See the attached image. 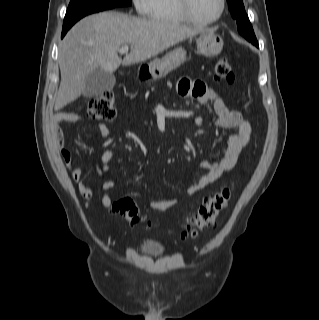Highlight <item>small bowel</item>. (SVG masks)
Masks as SVG:
<instances>
[{
	"label": "small bowel",
	"mask_w": 319,
	"mask_h": 320,
	"mask_svg": "<svg viewBox=\"0 0 319 320\" xmlns=\"http://www.w3.org/2000/svg\"><path fill=\"white\" fill-rule=\"evenodd\" d=\"M178 93L183 98L196 99L199 103L212 101L215 113L213 123L220 128L235 130V132L229 135L227 147L220 159L215 161H203L201 163V167L206 169V174L189 186L187 193L193 195L217 181L224 172L231 170L235 166L241 151L249 143L251 125L243 118L239 111L230 110L224 99L214 89L208 87L202 80H191L185 77L180 78L178 81ZM77 118L76 113H59L55 115L54 130L55 135L61 144V157L69 170L72 179L79 183V191L83 196L92 198L95 194V189L82 182L83 170L80 167L73 166L72 153L62 145V133L58 127L61 122H72L76 121ZM97 129L101 137H107L110 134L109 128L103 123H98ZM113 155L112 150H105L101 155L100 162H94V168L102 178V188L104 190H110L115 186L110 175V162ZM180 201L181 198L179 197L154 201L150 203V208L155 211H165L178 204ZM113 202L114 199L109 194H104L101 197V203L106 208H110Z\"/></svg>",
	"instance_id": "small-bowel-1"
}]
</instances>
